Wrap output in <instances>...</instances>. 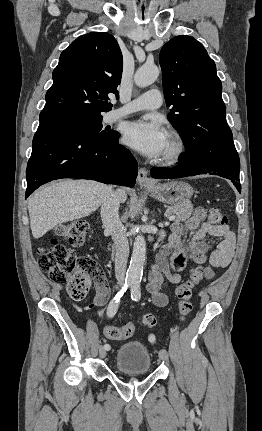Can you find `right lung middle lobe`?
Returning <instances> with one entry per match:
<instances>
[{"mask_svg":"<svg viewBox=\"0 0 262 431\" xmlns=\"http://www.w3.org/2000/svg\"><path fill=\"white\" fill-rule=\"evenodd\" d=\"M102 116L92 118L73 119L58 125L68 126L77 129L89 136L100 138H110L116 134L115 131L102 130Z\"/></svg>","mask_w":262,"mask_h":431,"instance_id":"dd1d6c3e","label":"right lung middle lobe"}]
</instances>
